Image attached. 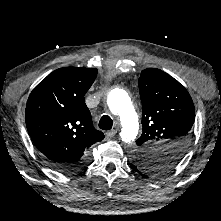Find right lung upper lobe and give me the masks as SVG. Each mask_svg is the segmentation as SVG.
Here are the masks:
<instances>
[{"mask_svg":"<svg viewBox=\"0 0 221 221\" xmlns=\"http://www.w3.org/2000/svg\"><path fill=\"white\" fill-rule=\"evenodd\" d=\"M97 72L95 68H59L31 92L25 111L26 126L47 161L78 162L104 138L93 127L84 100Z\"/></svg>","mask_w":221,"mask_h":221,"instance_id":"obj_1","label":"right lung upper lobe"}]
</instances>
